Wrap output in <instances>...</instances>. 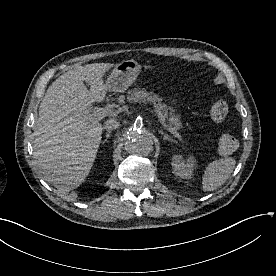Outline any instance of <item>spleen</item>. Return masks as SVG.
<instances>
[{
    "label": "spleen",
    "mask_w": 276,
    "mask_h": 276,
    "mask_svg": "<svg viewBox=\"0 0 276 276\" xmlns=\"http://www.w3.org/2000/svg\"><path fill=\"white\" fill-rule=\"evenodd\" d=\"M235 164V159L231 157L221 158L209 163L203 175V191H213L223 185L232 174Z\"/></svg>",
    "instance_id": "1"
}]
</instances>
